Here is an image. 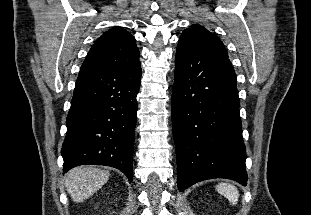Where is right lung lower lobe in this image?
<instances>
[{
	"label": "right lung lower lobe",
	"instance_id": "obj_1",
	"mask_svg": "<svg viewBox=\"0 0 311 215\" xmlns=\"http://www.w3.org/2000/svg\"><path fill=\"white\" fill-rule=\"evenodd\" d=\"M141 64L81 67L67 116L63 171L85 164L111 166L131 182Z\"/></svg>",
	"mask_w": 311,
	"mask_h": 215
}]
</instances>
